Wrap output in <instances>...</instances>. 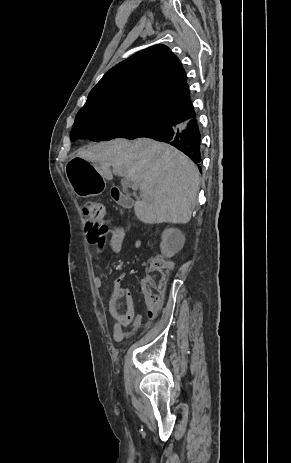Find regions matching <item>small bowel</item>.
Returning a JSON list of instances; mask_svg holds the SVG:
<instances>
[{"mask_svg": "<svg viewBox=\"0 0 291 463\" xmlns=\"http://www.w3.org/2000/svg\"><path fill=\"white\" fill-rule=\"evenodd\" d=\"M126 239V232L122 227L115 226L111 221L106 220L104 221L102 227L100 229H88L85 234L86 243L95 248L98 252H102L104 250L105 242L108 240L109 248L112 253H119L122 249V246ZM132 247L134 249H138L141 247V241L135 240L132 243ZM124 279V275L121 274L115 280L113 289L111 290V300L115 298L114 294L117 291V288L120 286V283ZM102 279L100 277H96L95 283L97 286L102 285ZM128 306L129 311L128 313L119 319V321L114 325L113 330V338L116 342H119L124 337V332L122 327L124 325L132 324L134 327H139L142 324V315L141 314H134L132 311V300L128 298ZM149 319H153V317L148 316Z\"/></svg>", "mask_w": 291, "mask_h": 463, "instance_id": "1", "label": "small bowel"}]
</instances>
